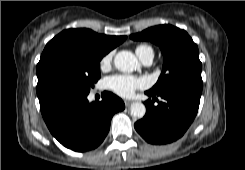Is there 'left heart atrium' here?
Listing matches in <instances>:
<instances>
[{"mask_svg": "<svg viewBox=\"0 0 245 170\" xmlns=\"http://www.w3.org/2000/svg\"><path fill=\"white\" fill-rule=\"evenodd\" d=\"M108 85L118 95L131 97L136 90L146 88L148 81L129 75H114L108 78Z\"/></svg>", "mask_w": 245, "mask_h": 170, "instance_id": "obj_1", "label": "left heart atrium"}]
</instances>
